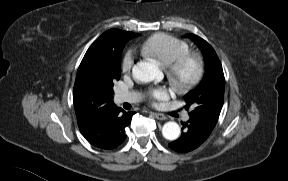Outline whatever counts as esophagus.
Listing matches in <instances>:
<instances>
[{"mask_svg":"<svg viewBox=\"0 0 288 181\" xmlns=\"http://www.w3.org/2000/svg\"><path fill=\"white\" fill-rule=\"evenodd\" d=\"M152 114L158 120H166L167 119V117L164 114H162V113H152Z\"/></svg>","mask_w":288,"mask_h":181,"instance_id":"esophagus-1","label":"esophagus"}]
</instances>
